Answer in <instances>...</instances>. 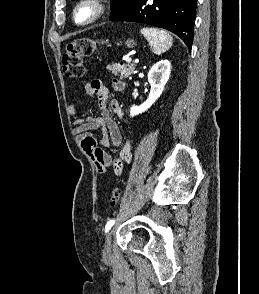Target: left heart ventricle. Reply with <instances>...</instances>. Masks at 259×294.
<instances>
[{
	"label": "left heart ventricle",
	"mask_w": 259,
	"mask_h": 294,
	"mask_svg": "<svg viewBox=\"0 0 259 294\" xmlns=\"http://www.w3.org/2000/svg\"><path fill=\"white\" fill-rule=\"evenodd\" d=\"M92 14V9L87 7L84 8L80 13H79V20H84L86 18H88L90 15Z\"/></svg>",
	"instance_id": "b2bd125f"
}]
</instances>
